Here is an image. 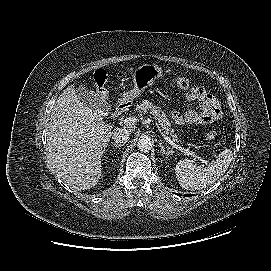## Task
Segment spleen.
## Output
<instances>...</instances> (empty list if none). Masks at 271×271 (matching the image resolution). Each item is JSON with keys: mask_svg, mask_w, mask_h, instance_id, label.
I'll list each match as a JSON object with an SVG mask.
<instances>
[{"mask_svg": "<svg viewBox=\"0 0 271 271\" xmlns=\"http://www.w3.org/2000/svg\"><path fill=\"white\" fill-rule=\"evenodd\" d=\"M233 153L229 149L218 154L216 160L202 168L189 159L180 160L175 169L177 180L186 190H200L217 181L228 169Z\"/></svg>", "mask_w": 271, "mask_h": 271, "instance_id": "3e777b00", "label": "spleen"}]
</instances>
